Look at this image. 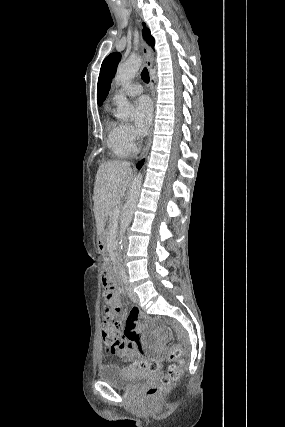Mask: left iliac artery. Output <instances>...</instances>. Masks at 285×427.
<instances>
[{"label":"left iliac artery","mask_w":285,"mask_h":427,"mask_svg":"<svg viewBox=\"0 0 285 427\" xmlns=\"http://www.w3.org/2000/svg\"><path fill=\"white\" fill-rule=\"evenodd\" d=\"M122 282H123L125 285H127V284H128L127 277L123 274V271H122Z\"/></svg>","instance_id":"44dca946"}]
</instances>
